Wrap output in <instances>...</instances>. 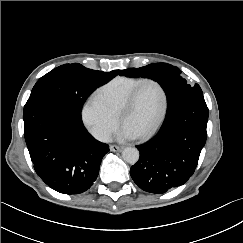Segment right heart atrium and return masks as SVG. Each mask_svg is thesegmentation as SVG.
Wrapping results in <instances>:
<instances>
[{
	"mask_svg": "<svg viewBox=\"0 0 243 243\" xmlns=\"http://www.w3.org/2000/svg\"><path fill=\"white\" fill-rule=\"evenodd\" d=\"M82 119L91 134L101 141L107 140L118 124V116L96 93L85 102L82 108Z\"/></svg>",
	"mask_w": 243,
	"mask_h": 243,
	"instance_id": "right-heart-atrium-1",
	"label": "right heart atrium"
}]
</instances>
